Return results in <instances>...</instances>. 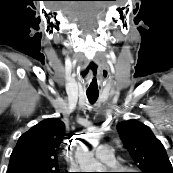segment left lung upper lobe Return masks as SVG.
<instances>
[{"mask_svg": "<svg viewBox=\"0 0 173 173\" xmlns=\"http://www.w3.org/2000/svg\"><path fill=\"white\" fill-rule=\"evenodd\" d=\"M117 130L140 173H173L164 146L148 126L132 119L120 122Z\"/></svg>", "mask_w": 173, "mask_h": 173, "instance_id": "left-lung-upper-lobe-1", "label": "left lung upper lobe"}]
</instances>
